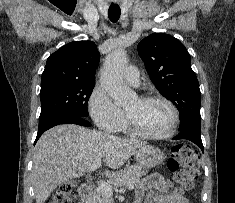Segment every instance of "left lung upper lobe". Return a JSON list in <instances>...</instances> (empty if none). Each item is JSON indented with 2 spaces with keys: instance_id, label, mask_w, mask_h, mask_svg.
<instances>
[{
  "instance_id": "obj_1",
  "label": "left lung upper lobe",
  "mask_w": 235,
  "mask_h": 203,
  "mask_svg": "<svg viewBox=\"0 0 235 203\" xmlns=\"http://www.w3.org/2000/svg\"><path fill=\"white\" fill-rule=\"evenodd\" d=\"M137 49L153 84L177 107L179 130H201V93L185 46L171 35L153 33L144 38Z\"/></svg>"
}]
</instances>
